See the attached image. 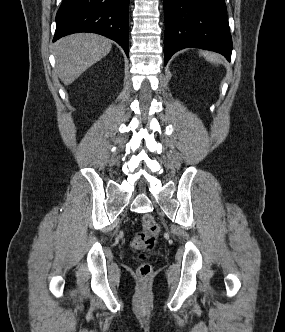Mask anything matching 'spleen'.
Wrapping results in <instances>:
<instances>
[{"label":"spleen","instance_id":"1","mask_svg":"<svg viewBox=\"0 0 285 332\" xmlns=\"http://www.w3.org/2000/svg\"><path fill=\"white\" fill-rule=\"evenodd\" d=\"M201 54L206 58L207 61H210L211 63H214V64L220 63L218 56L214 53H211L208 51H202Z\"/></svg>","mask_w":285,"mask_h":332}]
</instances>
